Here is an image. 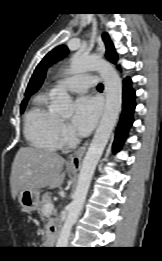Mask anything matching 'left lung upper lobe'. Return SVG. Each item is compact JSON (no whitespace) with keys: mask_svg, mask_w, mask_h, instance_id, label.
Masks as SVG:
<instances>
[{"mask_svg":"<svg viewBox=\"0 0 162 261\" xmlns=\"http://www.w3.org/2000/svg\"><path fill=\"white\" fill-rule=\"evenodd\" d=\"M103 41L106 45V58L111 61L112 63L116 64L118 57L115 52L114 46L112 41L110 40L107 33H104L102 35ZM68 53V48L64 45L58 46L55 49H53L51 52H49L42 61L38 64L36 67L34 74L32 75V78L30 79V82L28 84L27 90L29 91L34 83L36 82L37 78L40 76L42 71L52 65L54 62L60 60L62 57H64Z\"/></svg>","mask_w":162,"mask_h":261,"instance_id":"1","label":"left lung upper lobe"}]
</instances>
